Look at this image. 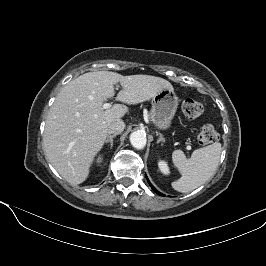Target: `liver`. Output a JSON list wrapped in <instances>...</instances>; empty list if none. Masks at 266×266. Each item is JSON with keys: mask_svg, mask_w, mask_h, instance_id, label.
<instances>
[{"mask_svg": "<svg viewBox=\"0 0 266 266\" xmlns=\"http://www.w3.org/2000/svg\"><path fill=\"white\" fill-rule=\"evenodd\" d=\"M117 83L123 88L117 100L126 104L148 101L164 89L173 90L172 84L160 77L110 71L88 72L65 85L48 113L43 148L49 162L72 185L87 179L108 138V123L128 112L120 104L102 109L103 102L115 95Z\"/></svg>", "mask_w": 266, "mask_h": 266, "instance_id": "obj_1", "label": "liver"}]
</instances>
